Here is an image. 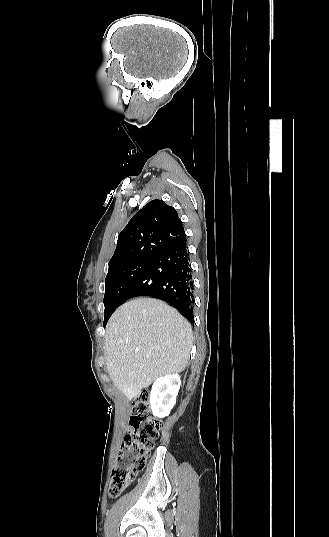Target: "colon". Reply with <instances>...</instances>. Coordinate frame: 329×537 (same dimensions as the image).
I'll return each mask as SVG.
<instances>
[{
	"mask_svg": "<svg viewBox=\"0 0 329 537\" xmlns=\"http://www.w3.org/2000/svg\"><path fill=\"white\" fill-rule=\"evenodd\" d=\"M163 423L150 411L149 395L142 392L133 400L130 430L121 444L120 454L111 474L109 493L119 496L146 462L149 451L160 437Z\"/></svg>",
	"mask_w": 329,
	"mask_h": 537,
	"instance_id": "colon-1",
	"label": "colon"
}]
</instances>
